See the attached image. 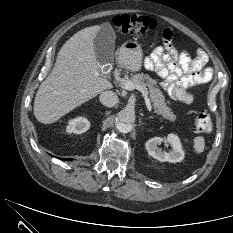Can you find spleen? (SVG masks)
<instances>
[{
    "label": "spleen",
    "mask_w": 233,
    "mask_h": 233,
    "mask_svg": "<svg viewBox=\"0 0 233 233\" xmlns=\"http://www.w3.org/2000/svg\"><path fill=\"white\" fill-rule=\"evenodd\" d=\"M193 142H194V150L196 153L200 154L204 151V148H205V141H204V138L202 136H198V137H195L193 139Z\"/></svg>",
    "instance_id": "obj_1"
}]
</instances>
